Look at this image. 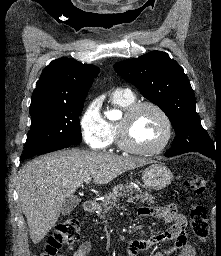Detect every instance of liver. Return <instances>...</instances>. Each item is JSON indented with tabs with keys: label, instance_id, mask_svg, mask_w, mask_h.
<instances>
[{
	"label": "liver",
	"instance_id": "liver-1",
	"mask_svg": "<svg viewBox=\"0 0 221 256\" xmlns=\"http://www.w3.org/2000/svg\"><path fill=\"white\" fill-rule=\"evenodd\" d=\"M149 163L152 161L79 149L56 151L28 162L19 171L17 193L33 243L48 234L66 198L86 179L107 184L122 173Z\"/></svg>",
	"mask_w": 221,
	"mask_h": 256
}]
</instances>
